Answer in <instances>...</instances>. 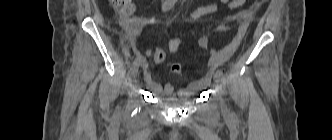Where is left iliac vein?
<instances>
[{"label": "left iliac vein", "instance_id": "1", "mask_svg": "<svg viewBox=\"0 0 332 140\" xmlns=\"http://www.w3.org/2000/svg\"><path fill=\"white\" fill-rule=\"evenodd\" d=\"M215 82L217 84V94H218V96L221 97L222 94H223V90H222V79H221V77L218 74H216V76H215ZM220 104H221L222 111H225L226 107H225V104H224L223 100H221Z\"/></svg>", "mask_w": 332, "mask_h": 140}]
</instances>
